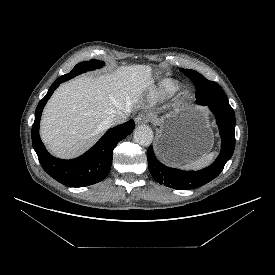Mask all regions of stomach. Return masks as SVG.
I'll use <instances>...</instances> for the list:
<instances>
[{
  "mask_svg": "<svg viewBox=\"0 0 275 275\" xmlns=\"http://www.w3.org/2000/svg\"><path fill=\"white\" fill-rule=\"evenodd\" d=\"M156 152L165 162H189L207 154L214 138L205 108L181 107L158 119Z\"/></svg>",
  "mask_w": 275,
  "mask_h": 275,
  "instance_id": "obj_1",
  "label": "stomach"
}]
</instances>
